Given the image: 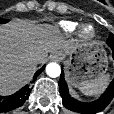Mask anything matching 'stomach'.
Here are the masks:
<instances>
[{
	"instance_id": "0dacf381",
	"label": "stomach",
	"mask_w": 114,
	"mask_h": 114,
	"mask_svg": "<svg viewBox=\"0 0 114 114\" xmlns=\"http://www.w3.org/2000/svg\"><path fill=\"white\" fill-rule=\"evenodd\" d=\"M63 60L68 82L80 87L86 81H94L106 75L108 55L99 43H86L74 46L70 51H57Z\"/></svg>"
}]
</instances>
